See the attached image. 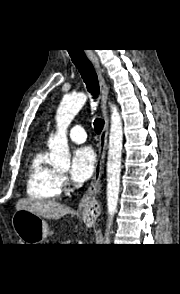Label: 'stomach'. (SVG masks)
Returning a JSON list of instances; mask_svg holds the SVG:
<instances>
[{
	"label": "stomach",
	"mask_w": 180,
	"mask_h": 294,
	"mask_svg": "<svg viewBox=\"0 0 180 294\" xmlns=\"http://www.w3.org/2000/svg\"><path fill=\"white\" fill-rule=\"evenodd\" d=\"M12 225L23 244H40L49 234L46 221L24 209L14 213Z\"/></svg>",
	"instance_id": "obj_1"
}]
</instances>
